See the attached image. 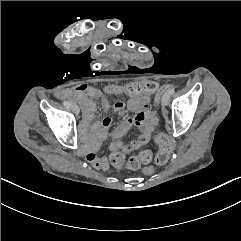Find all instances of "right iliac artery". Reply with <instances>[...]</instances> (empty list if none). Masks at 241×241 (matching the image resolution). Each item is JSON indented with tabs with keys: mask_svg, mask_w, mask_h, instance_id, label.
Returning <instances> with one entry per match:
<instances>
[{
	"mask_svg": "<svg viewBox=\"0 0 241 241\" xmlns=\"http://www.w3.org/2000/svg\"><path fill=\"white\" fill-rule=\"evenodd\" d=\"M64 105H66L67 107H70L71 103L70 102H64Z\"/></svg>",
	"mask_w": 241,
	"mask_h": 241,
	"instance_id": "82829eb1",
	"label": "right iliac artery"
}]
</instances>
